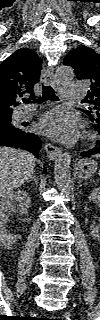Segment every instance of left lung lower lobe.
Listing matches in <instances>:
<instances>
[{
    "label": "left lung lower lobe",
    "instance_id": "0a47b994",
    "mask_svg": "<svg viewBox=\"0 0 100 320\" xmlns=\"http://www.w3.org/2000/svg\"><path fill=\"white\" fill-rule=\"evenodd\" d=\"M100 134V120H97V124L93 126ZM93 154H100V139L97 141V145L88 151L81 152L82 157H88Z\"/></svg>",
    "mask_w": 100,
    "mask_h": 320
}]
</instances>
